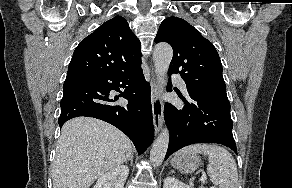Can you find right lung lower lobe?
<instances>
[{
    "instance_id": "1",
    "label": "right lung lower lobe",
    "mask_w": 292,
    "mask_h": 188,
    "mask_svg": "<svg viewBox=\"0 0 292 188\" xmlns=\"http://www.w3.org/2000/svg\"><path fill=\"white\" fill-rule=\"evenodd\" d=\"M111 90L120 92L119 97L127 99L128 104L118 105L119 97L110 96ZM78 116L94 117L114 125L132 140L138 154H142L154 137L150 85L142 69L139 67L126 73L67 76L63 85L59 126Z\"/></svg>"
}]
</instances>
